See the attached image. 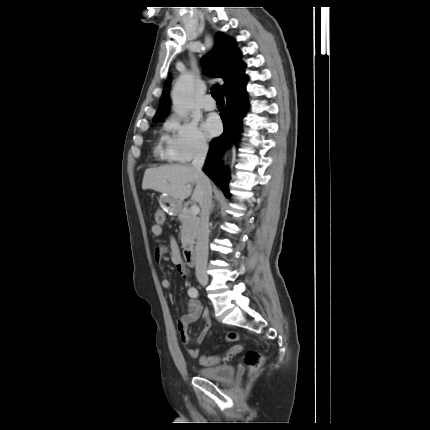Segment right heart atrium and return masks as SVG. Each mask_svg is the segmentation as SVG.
<instances>
[{"instance_id":"obj_1","label":"right heart atrium","mask_w":430,"mask_h":430,"mask_svg":"<svg viewBox=\"0 0 430 430\" xmlns=\"http://www.w3.org/2000/svg\"><path fill=\"white\" fill-rule=\"evenodd\" d=\"M165 130L163 154L168 160L185 163L206 153L208 144L194 121L172 116Z\"/></svg>"}]
</instances>
